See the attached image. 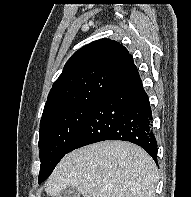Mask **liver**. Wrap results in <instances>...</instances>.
I'll use <instances>...</instances> for the list:
<instances>
[{
	"instance_id": "obj_1",
	"label": "liver",
	"mask_w": 191,
	"mask_h": 197,
	"mask_svg": "<svg viewBox=\"0 0 191 197\" xmlns=\"http://www.w3.org/2000/svg\"><path fill=\"white\" fill-rule=\"evenodd\" d=\"M158 177L152 157L126 141H103L66 154L44 188L56 197L77 189L83 197H155Z\"/></svg>"
}]
</instances>
